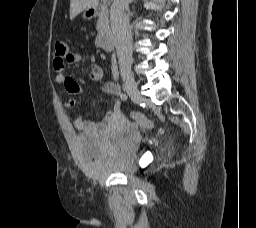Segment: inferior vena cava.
<instances>
[{
  "mask_svg": "<svg viewBox=\"0 0 256 228\" xmlns=\"http://www.w3.org/2000/svg\"><path fill=\"white\" fill-rule=\"evenodd\" d=\"M133 0H114L111 11V27L117 51L121 75L131 73L132 64V35L129 21L124 15Z\"/></svg>",
  "mask_w": 256,
  "mask_h": 228,
  "instance_id": "602c4592",
  "label": "inferior vena cava"
}]
</instances>
